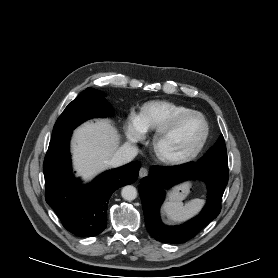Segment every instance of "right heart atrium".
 Masks as SVG:
<instances>
[{"label": "right heart atrium", "instance_id": "right-heart-atrium-1", "mask_svg": "<svg viewBox=\"0 0 278 278\" xmlns=\"http://www.w3.org/2000/svg\"><path fill=\"white\" fill-rule=\"evenodd\" d=\"M126 136L131 142L141 141L143 138V131L139 126L137 117L132 115L128 118L125 126Z\"/></svg>", "mask_w": 278, "mask_h": 278}]
</instances>
